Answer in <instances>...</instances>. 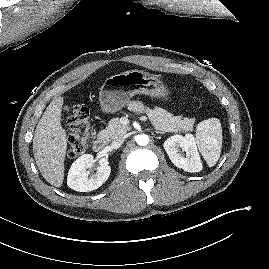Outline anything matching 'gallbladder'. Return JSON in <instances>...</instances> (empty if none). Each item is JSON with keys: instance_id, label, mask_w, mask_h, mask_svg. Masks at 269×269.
I'll use <instances>...</instances> for the list:
<instances>
[{"instance_id": "gallbladder-1", "label": "gallbladder", "mask_w": 269, "mask_h": 269, "mask_svg": "<svg viewBox=\"0 0 269 269\" xmlns=\"http://www.w3.org/2000/svg\"><path fill=\"white\" fill-rule=\"evenodd\" d=\"M69 110H70V108H69L68 106H65V107H64V111H65V112H69Z\"/></svg>"}]
</instances>
